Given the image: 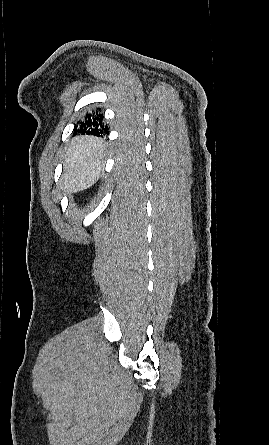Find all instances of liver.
I'll list each match as a JSON object with an SVG mask.
<instances>
[{"label": "liver", "mask_w": 269, "mask_h": 445, "mask_svg": "<svg viewBox=\"0 0 269 445\" xmlns=\"http://www.w3.org/2000/svg\"><path fill=\"white\" fill-rule=\"evenodd\" d=\"M104 149L102 140L96 137L74 138L66 153L60 188L67 193H76L92 186L103 170Z\"/></svg>", "instance_id": "obj_1"}]
</instances>
